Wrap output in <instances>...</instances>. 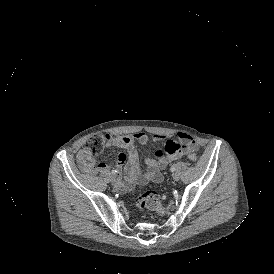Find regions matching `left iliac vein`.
<instances>
[{
	"mask_svg": "<svg viewBox=\"0 0 274 274\" xmlns=\"http://www.w3.org/2000/svg\"><path fill=\"white\" fill-rule=\"evenodd\" d=\"M179 179H180L179 174H174V175H173V180H174V181H179Z\"/></svg>",
	"mask_w": 274,
	"mask_h": 274,
	"instance_id": "left-iliac-vein-1",
	"label": "left iliac vein"
}]
</instances>
